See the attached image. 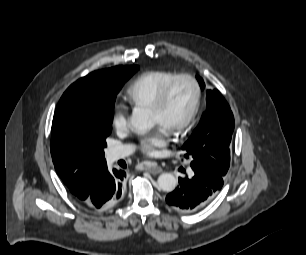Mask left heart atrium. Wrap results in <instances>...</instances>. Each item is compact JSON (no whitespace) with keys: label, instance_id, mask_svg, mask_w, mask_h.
Returning a JSON list of instances; mask_svg holds the SVG:
<instances>
[{"label":"left heart atrium","instance_id":"left-heart-atrium-1","mask_svg":"<svg viewBox=\"0 0 306 255\" xmlns=\"http://www.w3.org/2000/svg\"><path fill=\"white\" fill-rule=\"evenodd\" d=\"M167 136L168 130L159 126L155 132L141 140V151L149 156H157L159 149L167 145Z\"/></svg>","mask_w":306,"mask_h":255}]
</instances>
